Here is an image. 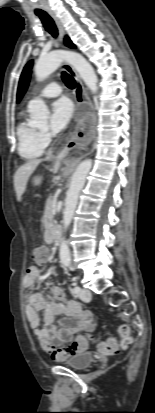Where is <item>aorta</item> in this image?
Masks as SVG:
<instances>
[{
  "label": "aorta",
  "instance_id": "762f6f07",
  "mask_svg": "<svg viewBox=\"0 0 155 413\" xmlns=\"http://www.w3.org/2000/svg\"><path fill=\"white\" fill-rule=\"evenodd\" d=\"M63 61L70 63L78 72L86 86L96 93L98 91V78L91 64L79 53L56 50L45 56H41L34 67L36 79L42 81L52 74ZM30 124L35 127L47 123L49 110L41 99L35 98L28 104ZM92 168V160L82 161L72 175L69 189L66 193L65 208L63 211V230L66 231L71 224L75 208L78 203L80 191L84 187L86 177ZM60 261L64 266L71 263L70 250L67 241L62 238L59 249Z\"/></svg>",
  "mask_w": 155,
  "mask_h": 413
}]
</instances>
